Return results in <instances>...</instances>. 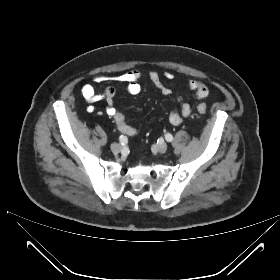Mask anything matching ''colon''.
Segmentation results:
<instances>
[{"label":"colon","mask_w":280,"mask_h":280,"mask_svg":"<svg viewBox=\"0 0 280 280\" xmlns=\"http://www.w3.org/2000/svg\"><path fill=\"white\" fill-rule=\"evenodd\" d=\"M206 110H207V108H206V106H204V105H198V106H197V112L200 113V114L205 113Z\"/></svg>","instance_id":"1"}]
</instances>
